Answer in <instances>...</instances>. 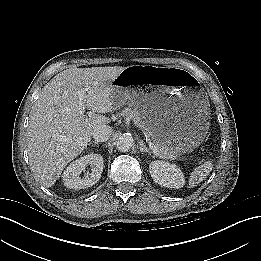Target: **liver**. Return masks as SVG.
I'll return each instance as SVG.
<instances>
[{"instance_id":"6515ba94","label":"liver","mask_w":261,"mask_h":261,"mask_svg":"<svg viewBox=\"0 0 261 261\" xmlns=\"http://www.w3.org/2000/svg\"><path fill=\"white\" fill-rule=\"evenodd\" d=\"M124 69L69 68L42 88L29 116L27 143L32 170L44 187L53 186L93 131L110 122L103 114L115 108L112 82ZM80 101L92 114L80 112Z\"/></svg>"}]
</instances>
